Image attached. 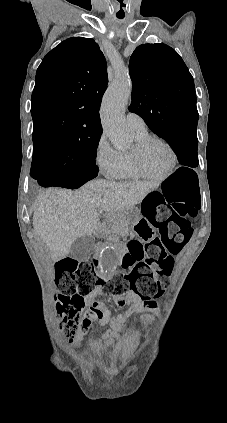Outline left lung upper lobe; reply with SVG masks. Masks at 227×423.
Returning <instances> with one entry per match:
<instances>
[{
  "instance_id": "obj_1",
  "label": "left lung upper lobe",
  "mask_w": 227,
  "mask_h": 423,
  "mask_svg": "<svg viewBox=\"0 0 227 423\" xmlns=\"http://www.w3.org/2000/svg\"><path fill=\"white\" fill-rule=\"evenodd\" d=\"M131 112L168 143L196 136L198 111L193 77L179 54L163 43L143 44L130 58Z\"/></svg>"
}]
</instances>
